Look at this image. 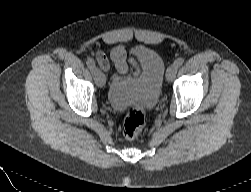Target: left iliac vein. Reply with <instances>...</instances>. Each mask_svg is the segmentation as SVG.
Segmentation results:
<instances>
[{"label":"left iliac vein","mask_w":251,"mask_h":192,"mask_svg":"<svg viewBox=\"0 0 251 192\" xmlns=\"http://www.w3.org/2000/svg\"><path fill=\"white\" fill-rule=\"evenodd\" d=\"M177 69H178V67L175 64H172L171 66L168 67L166 78L169 82L175 78V75L177 73Z\"/></svg>","instance_id":"left-iliac-vein-1"}]
</instances>
